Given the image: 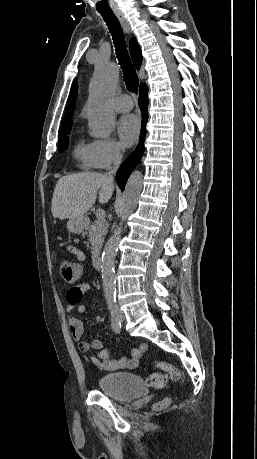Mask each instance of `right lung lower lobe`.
I'll list each match as a JSON object with an SVG mask.
<instances>
[{
    "label": "right lung lower lobe",
    "instance_id": "obj_1",
    "mask_svg": "<svg viewBox=\"0 0 257 459\" xmlns=\"http://www.w3.org/2000/svg\"><path fill=\"white\" fill-rule=\"evenodd\" d=\"M148 88L145 83L140 85L139 91V107L142 114V128L139 139V144L137 145L135 151L122 163L120 168L117 171L116 179L119 188L123 191L125 189L126 181L129 178L132 170L141 160V157L144 153V138L146 135L145 124L148 119V98H147Z\"/></svg>",
    "mask_w": 257,
    "mask_h": 459
}]
</instances>
